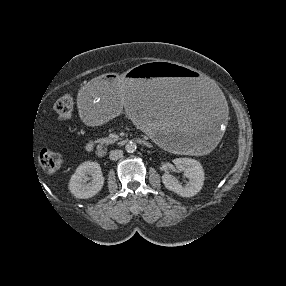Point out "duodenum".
I'll return each instance as SVG.
<instances>
[{
    "instance_id": "410a0bca",
    "label": "duodenum",
    "mask_w": 286,
    "mask_h": 286,
    "mask_svg": "<svg viewBox=\"0 0 286 286\" xmlns=\"http://www.w3.org/2000/svg\"><path fill=\"white\" fill-rule=\"evenodd\" d=\"M142 143H143V144H146L147 142L144 141V140H142ZM96 153H97V155L100 156V157L104 156L105 153H106L105 147H104V146L98 147Z\"/></svg>"
}]
</instances>
